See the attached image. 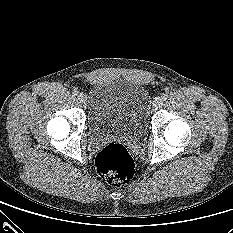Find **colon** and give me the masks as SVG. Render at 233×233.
Returning a JSON list of instances; mask_svg holds the SVG:
<instances>
[{"mask_svg": "<svg viewBox=\"0 0 233 233\" xmlns=\"http://www.w3.org/2000/svg\"><path fill=\"white\" fill-rule=\"evenodd\" d=\"M99 174L109 183L116 186L126 183L134 173L133 159L120 143H109L96 157Z\"/></svg>", "mask_w": 233, "mask_h": 233, "instance_id": "colon-1", "label": "colon"}]
</instances>
